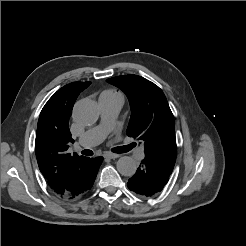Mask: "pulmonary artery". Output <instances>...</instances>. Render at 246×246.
<instances>
[{"instance_id": "pulmonary-artery-1", "label": "pulmonary artery", "mask_w": 246, "mask_h": 246, "mask_svg": "<svg viewBox=\"0 0 246 246\" xmlns=\"http://www.w3.org/2000/svg\"><path fill=\"white\" fill-rule=\"evenodd\" d=\"M123 105L122 96H111L101 94L99 106L101 111L100 125L87 130L78 140V146L90 148L99 144L105 138L110 126L115 120ZM145 157L144 150L139 148L135 152V158L142 160Z\"/></svg>"}]
</instances>
